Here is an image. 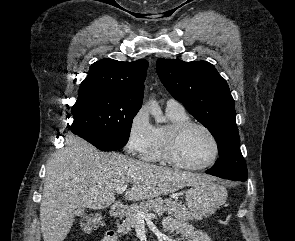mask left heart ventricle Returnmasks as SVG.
<instances>
[{"label":"left heart ventricle","mask_w":295,"mask_h":241,"mask_svg":"<svg viewBox=\"0 0 295 241\" xmlns=\"http://www.w3.org/2000/svg\"><path fill=\"white\" fill-rule=\"evenodd\" d=\"M214 146L209 136L199 128L184 132L175 147L176 157L190 165L204 164L212 157Z\"/></svg>","instance_id":"obj_1"}]
</instances>
